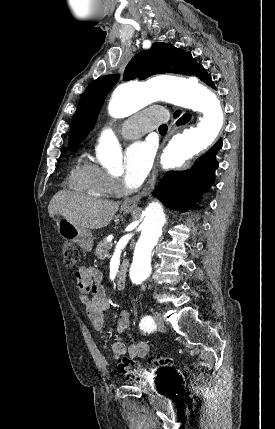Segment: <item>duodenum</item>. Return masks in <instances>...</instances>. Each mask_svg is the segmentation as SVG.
Masks as SVG:
<instances>
[{
    "mask_svg": "<svg viewBox=\"0 0 275 429\" xmlns=\"http://www.w3.org/2000/svg\"><path fill=\"white\" fill-rule=\"evenodd\" d=\"M126 284V266L122 265L117 273L116 287L118 290L124 289Z\"/></svg>",
    "mask_w": 275,
    "mask_h": 429,
    "instance_id": "obj_1",
    "label": "duodenum"
}]
</instances>
